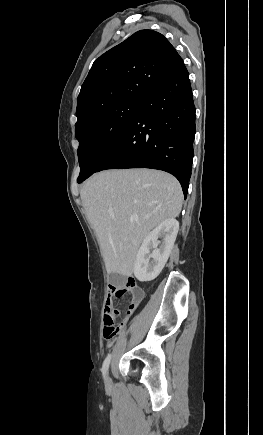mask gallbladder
Wrapping results in <instances>:
<instances>
[{
  "label": "gallbladder",
  "mask_w": 263,
  "mask_h": 435,
  "mask_svg": "<svg viewBox=\"0 0 263 435\" xmlns=\"http://www.w3.org/2000/svg\"><path fill=\"white\" fill-rule=\"evenodd\" d=\"M126 278L125 276L118 274V273H111L109 275V282L110 284L114 285V286H122L125 282Z\"/></svg>",
  "instance_id": "bac80fb5"
}]
</instances>
